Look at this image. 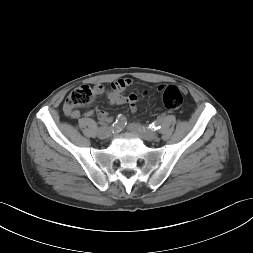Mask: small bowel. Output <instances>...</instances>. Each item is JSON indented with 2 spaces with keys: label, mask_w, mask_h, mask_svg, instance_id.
<instances>
[{
  "label": "small bowel",
  "mask_w": 253,
  "mask_h": 253,
  "mask_svg": "<svg viewBox=\"0 0 253 253\" xmlns=\"http://www.w3.org/2000/svg\"><path fill=\"white\" fill-rule=\"evenodd\" d=\"M132 84V80L129 78H120L112 83L111 89L107 92V98L111 104L123 105L128 104L132 111L136 110V104L138 101V97L135 94L124 95L122 92L128 88ZM163 86H160L161 90ZM184 90V89H183ZM94 92L97 95L103 94L105 92V87L102 84H96L94 86ZM64 112L66 116L71 119H77L80 117V112L75 109H69L66 106L64 107ZM92 111H87L85 113L86 116L92 115ZM99 118L102 121H109L110 117L104 111L99 112Z\"/></svg>",
  "instance_id": "obj_1"
}]
</instances>
